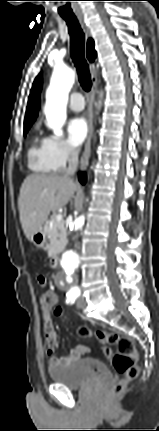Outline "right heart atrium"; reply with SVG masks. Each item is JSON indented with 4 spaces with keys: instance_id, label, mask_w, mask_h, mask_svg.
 Listing matches in <instances>:
<instances>
[{
    "instance_id": "right-heart-atrium-1",
    "label": "right heart atrium",
    "mask_w": 159,
    "mask_h": 431,
    "mask_svg": "<svg viewBox=\"0 0 159 431\" xmlns=\"http://www.w3.org/2000/svg\"><path fill=\"white\" fill-rule=\"evenodd\" d=\"M47 160L53 171L63 170L76 158V150L65 139L48 135L43 139Z\"/></svg>"
}]
</instances>
